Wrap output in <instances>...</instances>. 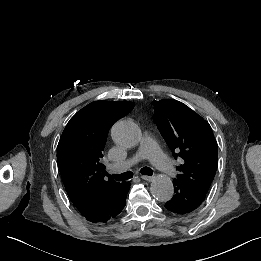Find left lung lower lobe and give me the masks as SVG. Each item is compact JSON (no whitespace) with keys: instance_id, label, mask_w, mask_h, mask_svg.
Returning a JSON list of instances; mask_svg holds the SVG:
<instances>
[{"instance_id":"obj_1","label":"left lung lower lobe","mask_w":261,"mask_h":261,"mask_svg":"<svg viewBox=\"0 0 261 261\" xmlns=\"http://www.w3.org/2000/svg\"><path fill=\"white\" fill-rule=\"evenodd\" d=\"M175 194L165 204V208L176 214L190 213L199 207L205 199L206 192L180 181H173Z\"/></svg>"}]
</instances>
